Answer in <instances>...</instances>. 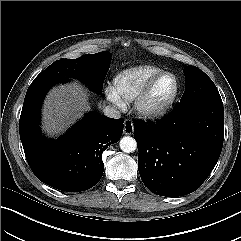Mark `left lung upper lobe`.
Instances as JSON below:
<instances>
[{"instance_id":"left-lung-upper-lobe-1","label":"left lung upper lobe","mask_w":241,"mask_h":241,"mask_svg":"<svg viewBox=\"0 0 241 241\" xmlns=\"http://www.w3.org/2000/svg\"><path fill=\"white\" fill-rule=\"evenodd\" d=\"M186 88L180 102L206 98L221 100L213 81L200 69L189 65L184 69Z\"/></svg>"}]
</instances>
